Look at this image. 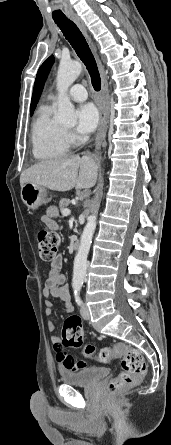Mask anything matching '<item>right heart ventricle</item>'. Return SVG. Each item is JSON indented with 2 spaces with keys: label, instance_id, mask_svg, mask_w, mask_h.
Here are the masks:
<instances>
[{
  "label": "right heart ventricle",
  "instance_id": "e07e8e85",
  "mask_svg": "<svg viewBox=\"0 0 171 445\" xmlns=\"http://www.w3.org/2000/svg\"><path fill=\"white\" fill-rule=\"evenodd\" d=\"M32 151L36 159L46 160L65 155L70 147L67 132L52 116L49 105L40 108L32 125Z\"/></svg>",
  "mask_w": 171,
  "mask_h": 445
}]
</instances>
